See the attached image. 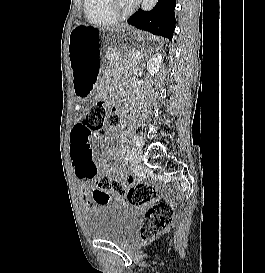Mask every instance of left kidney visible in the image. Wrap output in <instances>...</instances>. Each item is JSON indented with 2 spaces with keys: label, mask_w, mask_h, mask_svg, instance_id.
Returning a JSON list of instances; mask_svg holds the SVG:
<instances>
[{
  "label": "left kidney",
  "mask_w": 265,
  "mask_h": 273,
  "mask_svg": "<svg viewBox=\"0 0 265 273\" xmlns=\"http://www.w3.org/2000/svg\"><path fill=\"white\" fill-rule=\"evenodd\" d=\"M162 63V54L157 53L156 55L152 56L150 60L147 62V70L148 72L154 76L156 75L160 68Z\"/></svg>",
  "instance_id": "1"
}]
</instances>
